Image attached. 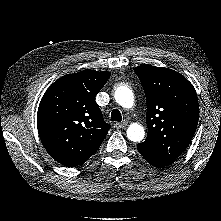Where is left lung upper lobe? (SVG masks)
<instances>
[{
  "label": "left lung upper lobe",
  "instance_id": "left-lung-upper-lobe-1",
  "mask_svg": "<svg viewBox=\"0 0 221 221\" xmlns=\"http://www.w3.org/2000/svg\"><path fill=\"white\" fill-rule=\"evenodd\" d=\"M143 86L148 135L137 146L142 156L161 165L172 164L189 145L199 119L193 85L178 72L151 65L134 68Z\"/></svg>",
  "mask_w": 221,
  "mask_h": 221
}]
</instances>
